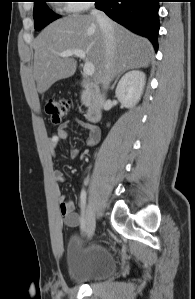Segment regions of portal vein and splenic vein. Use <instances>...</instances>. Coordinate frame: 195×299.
Returning a JSON list of instances; mask_svg holds the SVG:
<instances>
[{"label":"portal vein and splenic vein","instance_id":"18ae733b","mask_svg":"<svg viewBox=\"0 0 195 299\" xmlns=\"http://www.w3.org/2000/svg\"><path fill=\"white\" fill-rule=\"evenodd\" d=\"M58 55L61 56V57H69V56L75 55V56L85 60V64H84V67H83L84 74L88 77L92 76L94 74L95 67H94L93 63L87 61L86 53L83 50L68 49L66 51H63V52L59 53Z\"/></svg>","mask_w":195,"mask_h":299}]
</instances>
